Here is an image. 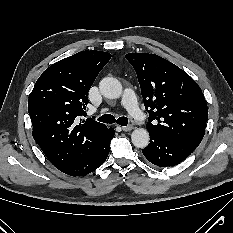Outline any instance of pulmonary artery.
Segmentation results:
<instances>
[{
	"label": "pulmonary artery",
	"mask_w": 233,
	"mask_h": 233,
	"mask_svg": "<svg viewBox=\"0 0 233 233\" xmlns=\"http://www.w3.org/2000/svg\"><path fill=\"white\" fill-rule=\"evenodd\" d=\"M121 103L136 120H142L146 118V115L139 107L136 95L131 88L124 89Z\"/></svg>",
	"instance_id": "pulmonary-artery-1"
}]
</instances>
